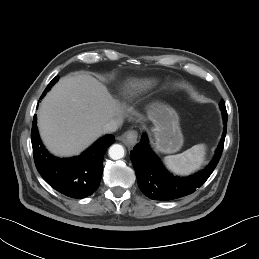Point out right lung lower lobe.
<instances>
[{
	"instance_id": "1",
	"label": "right lung lower lobe",
	"mask_w": 259,
	"mask_h": 259,
	"mask_svg": "<svg viewBox=\"0 0 259 259\" xmlns=\"http://www.w3.org/2000/svg\"><path fill=\"white\" fill-rule=\"evenodd\" d=\"M113 135L99 139L86 152L70 159H59L49 154L33 118L31 141L36 168L42 178L59 193L71 198H85L99 187L103 172V154L114 142Z\"/></svg>"
}]
</instances>
